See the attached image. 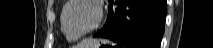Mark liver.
Segmentation results:
<instances>
[{"label": "liver", "instance_id": "6515ba94", "mask_svg": "<svg viewBox=\"0 0 213 48\" xmlns=\"http://www.w3.org/2000/svg\"><path fill=\"white\" fill-rule=\"evenodd\" d=\"M95 43H97L95 40H84L79 46L80 48H88L89 46H92Z\"/></svg>", "mask_w": 213, "mask_h": 48}]
</instances>
